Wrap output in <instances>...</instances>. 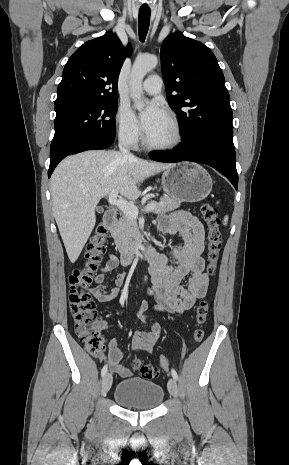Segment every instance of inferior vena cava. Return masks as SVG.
I'll return each instance as SVG.
<instances>
[{"instance_id":"obj_1","label":"inferior vena cava","mask_w":289,"mask_h":465,"mask_svg":"<svg viewBox=\"0 0 289 465\" xmlns=\"http://www.w3.org/2000/svg\"><path fill=\"white\" fill-rule=\"evenodd\" d=\"M128 146H129L128 139L126 137H120V140H119L120 151L128 157H133V154L130 153Z\"/></svg>"}]
</instances>
